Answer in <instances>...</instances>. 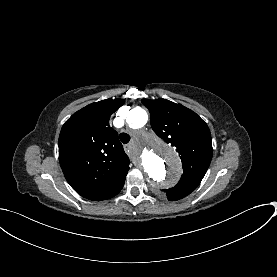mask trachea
<instances>
[{"label": "trachea", "mask_w": 277, "mask_h": 277, "mask_svg": "<svg viewBox=\"0 0 277 277\" xmlns=\"http://www.w3.org/2000/svg\"><path fill=\"white\" fill-rule=\"evenodd\" d=\"M119 138L123 144H127L130 141V136L126 133H121Z\"/></svg>", "instance_id": "1"}]
</instances>
